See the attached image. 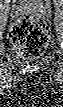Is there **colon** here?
Wrapping results in <instances>:
<instances>
[{"instance_id": "1", "label": "colon", "mask_w": 63, "mask_h": 107, "mask_svg": "<svg viewBox=\"0 0 63 107\" xmlns=\"http://www.w3.org/2000/svg\"><path fill=\"white\" fill-rule=\"evenodd\" d=\"M9 36L19 55L33 58L44 52L49 41V30L44 22L27 17L12 27Z\"/></svg>"}]
</instances>
